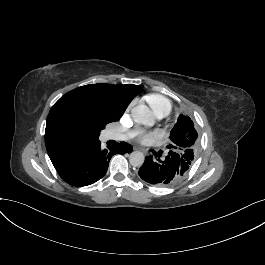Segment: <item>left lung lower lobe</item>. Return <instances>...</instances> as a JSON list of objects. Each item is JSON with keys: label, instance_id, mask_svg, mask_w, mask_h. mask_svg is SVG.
Instances as JSON below:
<instances>
[{"label": "left lung lower lobe", "instance_id": "0a47b994", "mask_svg": "<svg viewBox=\"0 0 265 265\" xmlns=\"http://www.w3.org/2000/svg\"><path fill=\"white\" fill-rule=\"evenodd\" d=\"M138 175L149 184L168 186L182 179L185 173L180 156L168 152L165 159H153L152 156L145 157L144 164L140 167Z\"/></svg>", "mask_w": 265, "mask_h": 265}]
</instances>
